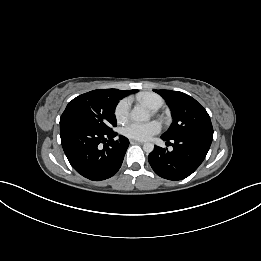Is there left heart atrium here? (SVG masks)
<instances>
[{
  "mask_svg": "<svg viewBox=\"0 0 261 261\" xmlns=\"http://www.w3.org/2000/svg\"><path fill=\"white\" fill-rule=\"evenodd\" d=\"M161 125L157 121L150 122H131L123 128V134L135 140H147L158 133Z\"/></svg>",
  "mask_w": 261,
  "mask_h": 261,
  "instance_id": "obj_1",
  "label": "left heart atrium"
}]
</instances>
